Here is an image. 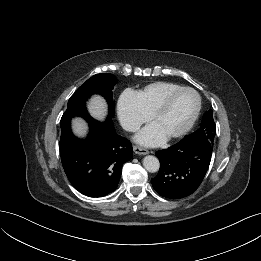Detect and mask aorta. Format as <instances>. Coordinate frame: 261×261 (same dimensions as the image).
I'll return each instance as SVG.
<instances>
[{"instance_id": "aorta-1", "label": "aorta", "mask_w": 261, "mask_h": 261, "mask_svg": "<svg viewBox=\"0 0 261 261\" xmlns=\"http://www.w3.org/2000/svg\"><path fill=\"white\" fill-rule=\"evenodd\" d=\"M143 166L144 168L151 173H155L159 170L160 168V163L158 158H156L155 156H146L143 159Z\"/></svg>"}]
</instances>
